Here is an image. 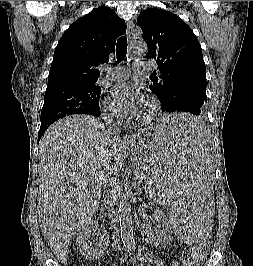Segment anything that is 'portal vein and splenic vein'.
<instances>
[{"mask_svg": "<svg viewBox=\"0 0 253 266\" xmlns=\"http://www.w3.org/2000/svg\"><path fill=\"white\" fill-rule=\"evenodd\" d=\"M149 187H147V184L145 185V192L147 193V191H149Z\"/></svg>", "mask_w": 253, "mask_h": 266, "instance_id": "18ae733b", "label": "portal vein and splenic vein"}]
</instances>
